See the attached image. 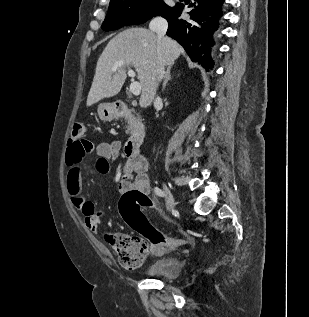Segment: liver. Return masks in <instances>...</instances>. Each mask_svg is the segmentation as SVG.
<instances>
[{
  "instance_id": "liver-1",
  "label": "liver",
  "mask_w": 309,
  "mask_h": 317,
  "mask_svg": "<svg viewBox=\"0 0 309 317\" xmlns=\"http://www.w3.org/2000/svg\"><path fill=\"white\" fill-rule=\"evenodd\" d=\"M181 53L183 48L176 41L168 37L159 41L148 29L136 27L120 32L109 41L98 59L87 106L117 95L127 77L126 67L132 66L142 89L139 104L148 107L156 95L160 63L171 67ZM120 60L124 64L113 71V66Z\"/></svg>"
}]
</instances>
